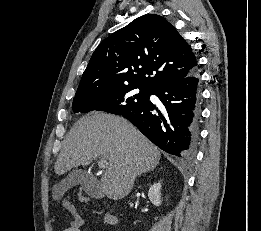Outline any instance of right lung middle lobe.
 Here are the masks:
<instances>
[{
    "instance_id": "1",
    "label": "right lung middle lobe",
    "mask_w": 261,
    "mask_h": 231,
    "mask_svg": "<svg viewBox=\"0 0 261 231\" xmlns=\"http://www.w3.org/2000/svg\"><path fill=\"white\" fill-rule=\"evenodd\" d=\"M136 88L139 89L138 93L134 92ZM150 94L149 89L126 85L75 96L72 107L74 113L97 110L123 115L145 105L149 101Z\"/></svg>"
}]
</instances>
